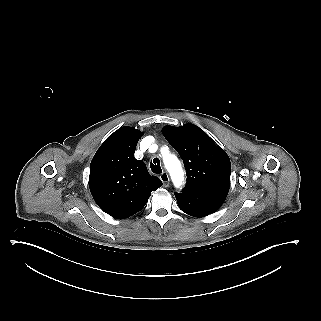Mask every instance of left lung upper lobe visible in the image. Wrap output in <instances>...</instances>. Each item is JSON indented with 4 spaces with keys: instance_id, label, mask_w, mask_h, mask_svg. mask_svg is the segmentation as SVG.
I'll use <instances>...</instances> for the list:
<instances>
[{
    "instance_id": "obj_1",
    "label": "left lung upper lobe",
    "mask_w": 321,
    "mask_h": 321,
    "mask_svg": "<svg viewBox=\"0 0 321 321\" xmlns=\"http://www.w3.org/2000/svg\"><path fill=\"white\" fill-rule=\"evenodd\" d=\"M162 133L180 154L187 173L184 190L230 187L231 162L221 148L198 126H165Z\"/></svg>"
}]
</instances>
